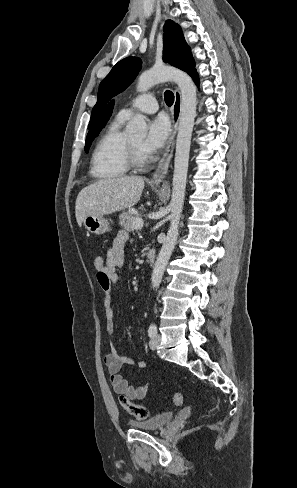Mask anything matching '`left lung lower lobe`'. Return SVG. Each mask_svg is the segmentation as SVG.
<instances>
[{
  "label": "left lung lower lobe",
  "mask_w": 297,
  "mask_h": 488,
  "mask_svg": "<svg viewBox=\"0 0 297 488\" xmlns=\"http://www.w3.org/2000/svg\"><path fill=\"white\" fill-rule=\"evenodd\" d=\"M191 77L194 79V81H195L196 84L199 83V79H198V75L197 74H195V75H193Z\"/></svg>",
  "instance_id": "0a47b994"
}]
</instances>
